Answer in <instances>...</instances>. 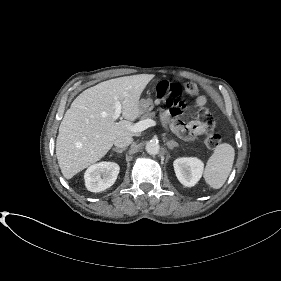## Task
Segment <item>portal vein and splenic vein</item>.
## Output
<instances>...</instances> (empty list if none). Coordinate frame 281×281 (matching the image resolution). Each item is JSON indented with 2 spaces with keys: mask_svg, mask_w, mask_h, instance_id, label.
I'll list each match as a JSON object with an SVG mask.
<instances>
[{
  "mask_svg": "<svg viewBox=\"0 0 281 281\" xmlns=\"http://www.w3.org/2000/svg\"><path fill=\"white\" fill-rule=\"evenodd\" d=\"M121 112H122L121 103L119 101H116V103H115V112H114L113 118L115 120L118 119L120 117V115H121ZM155 125H156V122L154 120H152V119H145V120L139 121L136 124L130 125L129 129L132 132L137 133V132L144 131L145 129H147L149 127H152V126H155Z\"/></svg>",
  "mask_w": 281,
  "mask_h": 281,
  "instance_id": "1",
  "label": "portal vein and splenic vein"
}]
</instances>
